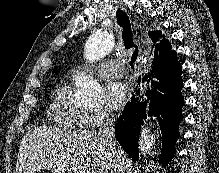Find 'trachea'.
<instances>
[{
	"mask_svg": "<svg viewBox=\"0 0 219 173\" xmlns=\"http://www.w3.org/2000/svg\"><path fill=\"white\" fill-rule=\"evenodd\" d=\"M118 25L122 27V39L126 49L134 48L135 50L131 56L130 66L134 68V63L138 57V48L133 42V33L129 17L121 10L118 9L116 13Z\"/></svg>",
	"mask_w": 219,
	"mask_h": 173,
	"instance_id": "obj_1",
	"label": "trachea"
}]
</instances>
